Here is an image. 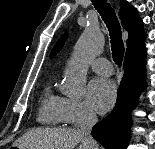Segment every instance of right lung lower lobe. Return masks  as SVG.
I'll return each instance as SVG.
<instances>
[{
	"mask_svg": "<svg viewBox=\"0 0 155 149\" xmlns=\"http://www.w3.org/2000/svg\"><path fill=\"white\" fill-rule=\"evenodd\" d=\"M125 73L113 111L93 126L92 136L107 149H126L130 140V111L146 83V56L140 59H125Z\"/></svg>",
	"mask_w": 155,
	"mask_h": 149,
	"instance_id": "1",
	"label": "right lung lower lobe"
}]
</instances>
